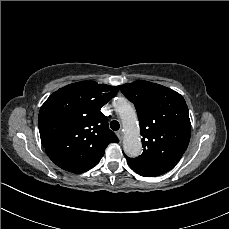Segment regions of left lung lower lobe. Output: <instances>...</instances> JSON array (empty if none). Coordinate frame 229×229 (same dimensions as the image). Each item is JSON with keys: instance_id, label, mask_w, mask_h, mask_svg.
<instances>
[{"instance_id": "obj_1", "label": "left lung lower lobe", "mask_w": 229, "mask_h": 229, "mask_svg": "<svg viewBox=\"0 0 229 229\" xmlns=\"http://www.w3.org/2000/svg\"><path fill=\"white\" fill-rule=\"evenodd\" d=\"M130 168L133 169L135 172H137L138 174L142 175V176H145L143 175L142 173H140L139 171H137L134 167H132L130 164H129ZM146 177V176H145Z\"/></svg>"}]
</instances>
